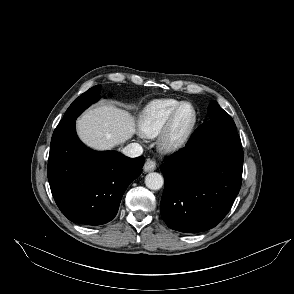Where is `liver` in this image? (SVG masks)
I'll list each match as a JSON object with an SVG mask.
<instances>
[{
	"instance_id": "obj_1",
	"label": "liver",
	"mask_w": 294,
	"mask_h": 294,
	"mask_svg": "<svg viewBox=\"0 0 294 294\" xmlns=\"http://www.w3.org/2000/svg\"><path fill=\"white\" fill-rule=\"evenodd\" d=\"M80 139L96 150L110 149L135 133V122L130 114L111 104L87 110L77 121Z\"/></svg>"
}]
</instances>
